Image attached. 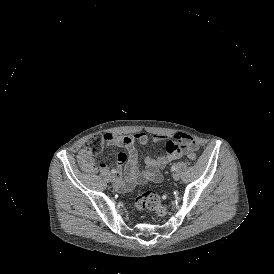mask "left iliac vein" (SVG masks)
I'll list each match as a JSON object with an SVG mask.
<instances>
[{
    "instance_id": "left-iliac-vein-1",
    "label": "left iliac vein",
    "mask_w": 274,
    "mask_h": 274,
    "mask_svg": "<svg viewBox=\"0 0 274 274\" xmlns=\"http://www.w3.org/2000/svg\"><path fill=\"white\" fill-rule=\"evenodd\" d=\"M173 179H174L175 181H178V180L180 179V175H179L178 173H175V174L173 175Z\"/></svg>"
}]
</instances>
